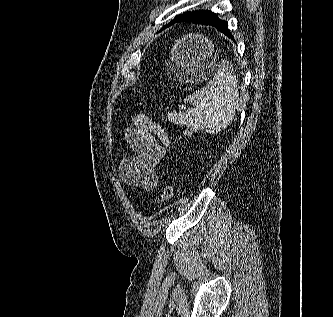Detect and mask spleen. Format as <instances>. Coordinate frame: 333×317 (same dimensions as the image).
<instances>
[{
    "mask_svg": "<svg viewBox=\"0 0 333 317\" xmlns=\"http://www.w3.org/2000/svg\"><path fill=\"white\" fill-rule=\"evenodd\" d=\"M194 107L186 111L168 112L170 122L185 125L191 130L217 133L233 120L239 101V92L232 69L222 64L208 84L185 99Z\"/></svg>",
    "mask_w": 333,
    "mask_h": 317,
    "instance_id": "obj_1",
    "label": "spleen"
}]
</instances>
